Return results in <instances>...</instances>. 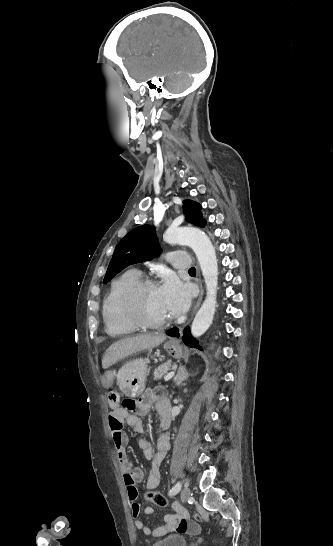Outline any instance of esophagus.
Returning <instances> with one entry per match:
<instances>
[{
	"label": "esophagus",
	"instance_id": "obj_1",
	"mask_svg": "<svg viewBox=\"0 0 333 546\" xmlns=\"http://www.w3.org/2000/svg\"><path fill=\"white\" fill-rule=\"evenodd\" d=\"M198 283H199V286H200V294H199L198 300H197V302H196V305H195V307H194L193 313H194V312L197 310V308L199 307V305H200V303H201V301H202V298H203V293H204L201 279L198 280Z\"/></svg>",
	"mask_w": 333,
	"mask_h": 546
}]
</instances>
